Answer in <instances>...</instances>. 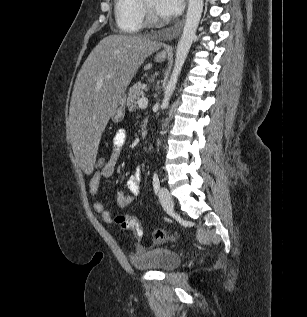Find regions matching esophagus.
I'll list each match as a JSON object with an SVG mask.
<instances>
[{
    "instance_id": "esophagus-1",
    "label": "esophagus",
    "mask_w": 307,
    "mask_h": 317,
    "mask_svg": "<svg viewBox=\"0 0 307 317\" xmlns=\"http://www.w3.org/2000/svg\"><path fill=\"white\" fill-rule=\"evenodd\" d=\"M165 52H167V53H171V52H172V50H171V49H167V50H165Z\"/></svg>"
}]
</instances>
